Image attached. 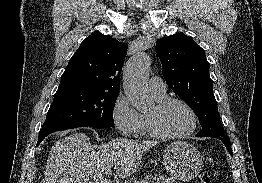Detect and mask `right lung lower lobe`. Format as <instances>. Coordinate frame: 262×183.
Returning a JSON list of instances; mask_svg holds the SVG:
<instances>
[{"label": "right lung lower lobe", "instance_id": "right-lung-lower-lobe-1", "mask_svg": "<svg viewBox=\"0 0 262 183\" xmlns=\"http://www.w3.org/2000/svg\"><path fill=\"white\" fill-rule=\"evenodd\" d=\"M88 125H74V126H67V127H53V128H46V129H41L39 132V138L37 142V146L42 142V140L49 134L55 132V131H61V130H66L70 128H77V127H87ZM91 127V126H90Z\"/></svg>", "mask_w": 262, "mask_h": 183}]
</instances>
